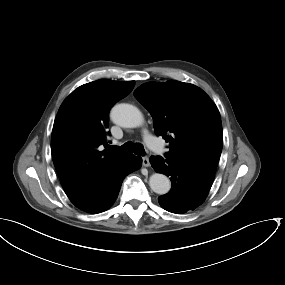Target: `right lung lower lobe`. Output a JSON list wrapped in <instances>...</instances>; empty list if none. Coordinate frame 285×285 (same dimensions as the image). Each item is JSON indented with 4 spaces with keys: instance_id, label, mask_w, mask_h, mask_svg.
I'll return each instance as SVG.
<instances>
[{
    "instance_id": "right-lung-lower-lobe-1",
    "label": "right lung lower lobe",
    "mask_w": 285,
    "mask_h": 285,
    "mask_svg": "<svg viewBox=\"0 0 285 285\" xmlns=\"http://www.w3.org/2000/svg\"><path fill=\"white\" fill-rule=\"evenodd\" d=\"M141 165L142 158L132 155L127 163L103 181L88 199L76 206L79 209L92 214L107 210L116 200L124 177L131 172L138 170Z\"/></svg>"
}]
</instances>
